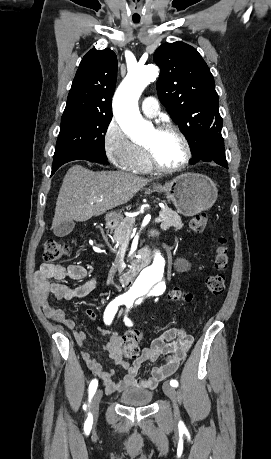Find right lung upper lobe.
<instances>
[{
    "mask_svg": "<svg viewBox=\"0 0 271 459\" xmlns=\"http://www.w3.org/2000/svg\"><path fill=\"white\" fill-rule=\"evenodd\" d=\"M117 57L110 49L90 50L80 62L63 114L112 115Z\"/></svg>",
    "mask_w": 271,
    "mask_h": 459,
    "instance_id": "cb5924a9",
    "label": "right lung upper lobe"
}]
</instances>
